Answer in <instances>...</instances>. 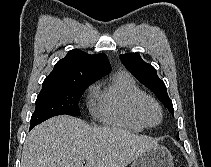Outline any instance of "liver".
Instances as JSON below:
<instances>
[{
	"instance_id": "1",
	"label": "liver",
	"mask_w": 211,
	"mask_h": 167,
	"mask_svg": "<svg viewBox=\"0 0 211 167\" xmlns=\"http://www.w3.org/2000/svg\"><path fill=\"white\" fill-rule=\"evenodd\" d=\"M156 145L147 136L116 127H93L62 115L28 133L21 163L22 167H126Z\"/></svg>"
}]
</instances>
